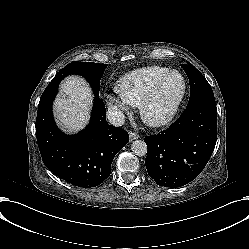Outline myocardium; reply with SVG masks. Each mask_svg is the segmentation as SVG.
<instances>
[{
	"instance_id": "myocardium-1",
	"label": "myocardium",
	"mask_w": 249,
	"mask_h": 249,
	"mask_svg": "<svg viewBox=\"0 0 249 249\" xmlns=\"http://www.w3.org/2000/svg\"><path fill=\"white\" fill-rule=\"evenodd\" d=\"M172 75H177L180 79L181 90H180L178 97L174 101L170 111L164 117L158 118V119L150 118L146 114V107L149 105V103L151 101L154 100V98L156 97L159 90L162 88V86L167 82V80ZM185 91H186V83H185L183 75L179 71H176V70H172V71L167 72L162 77V79L157 83V85L154 87L152 92L140 103V105L138 107V114H139V117L142 120V122L150 127H160V126H163V125H166L167 123H169L176 115V113H177V111L182 103V100L184 98Z\"/></svg>"
}]
</instances>
